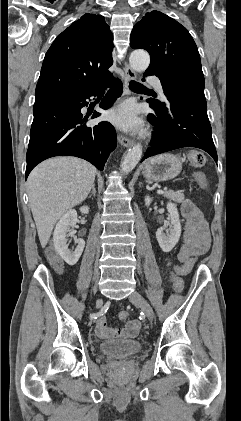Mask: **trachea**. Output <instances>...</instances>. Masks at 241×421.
I'll use <instances>...</instances> for the list:
<instances>
[{"label": "trachea", "mask_w": 241, "mask_h": 421, "mask_svg": "<svg viewBox=\"0 0 241 421\" xmlns=\"http://www.w3.org/2000/svg\"><path fill=\"white\" fill-rule=\"evenodd\" d=\"M129 88L131 90H145L146 89L142 84L137 83L135 81H130Z\"/></svg>", "instance_id": "3493384b"}]
</instances>
